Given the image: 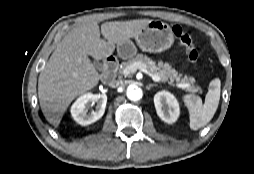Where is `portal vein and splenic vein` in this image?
<instances>
[{
	"mask_svg": "<svg viewBox=\"0 0 254 174\" xmlns=\"http://www.w3.org/2000/svg\"><path fill=\"white\" fill-rule=\"evenodd\" d=\"M137 69H139L140 71L148 74L152 78V80L155 81V82L162 81L160 76H157V75L151 73L149 71L148 67L146 65H144L143 63H141V62H135V63L127 66L124 69L123 73H124V75L128 76L130 74H134L137 71ZM176 86L178 88H182V89H185V88L189 87L188 84H182V83H178V84H176Z\"/></svg>",
	"mask_w": 254,
	"mask_h": 174,
	"instance_id": "18ae733b",
	"label": "portal vein and splenic vein"
}]
</instances>
